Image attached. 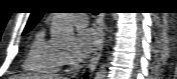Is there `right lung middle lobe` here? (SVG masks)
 Instances as JSON below:
<instances>
[{
	"label": "right lung middle lobe",
	"mask_w": 177,
	"mask_h": 79,
	"mask_svg": "<svg viewBox=\"0 0 177 79\" xmlns=\"http://www.w3.org/2000/svg\"><path fill=\"white\" fill-rule=\"evenodd\" d=\"M33 27H26L23 31L22 35H25L28 31H30Z\"/></svg>",
	"instance_id": "obj_1"
}]
</instances>
